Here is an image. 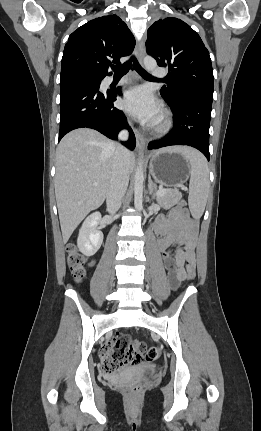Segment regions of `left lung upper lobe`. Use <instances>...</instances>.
Segmentation results:
<instances>
[{
    "label": "left lung upper lobe",
    "instance_id": "obj_1",
    "mask_svg": "<svg viewBox=\"0 0 261 431\" xmlns=\"http://www.w3.org/2000/svg\"><path fill=\"white\" fill-rule=\"evenodd\" d=\"M147 51L161 67H168L169 84L161 95L174 103L186 95L213 97V69L207 48L188 24L164 18L148 29Z\"/></svg>",
    "mask_w": 261,
    "mask_h": 431
}]
</instances>
